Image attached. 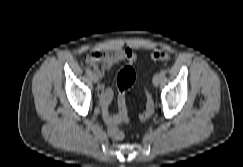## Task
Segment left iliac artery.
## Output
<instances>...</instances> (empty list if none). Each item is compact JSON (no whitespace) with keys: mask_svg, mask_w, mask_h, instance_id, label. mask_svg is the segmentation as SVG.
<instances>
[{"mask_svg":"<svg viewBox=\"0 0 243 167\" xmlns=\"http://www.w3.org/2000/svg\"><path fill=\"white\" fill-rule=\"evenodd\" d=\"M160 74H161L162 76H165V75H166V70H161Z\"/></svg>","mask_w":243,"mask_h":167,"instance_id":"44dca946","label":"left iliac artery"}]
</instances>
